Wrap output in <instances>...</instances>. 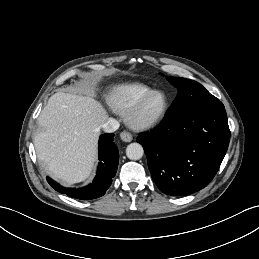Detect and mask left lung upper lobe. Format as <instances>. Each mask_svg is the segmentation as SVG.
<instances>
[{
  "label": "left lung upper lobe",
  "mask_w": 259,
  "mask_h": 259,
  "mask_svg": "<svg viewBox=\"0 0 259 259\" xmlns=\"http://www.w3.org/2000/svg\"><path fill=\"white\" fill-rule=\"evenodd\" d=\"M178 90L176 99L166 116L177 115L192 109L214 104L219 100L210 94L201 84L181 77H166Z\"/></svg>",
  "instance_id": "1"
}]
</instances>
